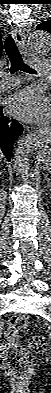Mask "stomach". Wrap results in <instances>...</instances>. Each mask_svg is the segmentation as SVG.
Segmentation results:
<instances>
[{"label": "stomach", "instance_id": "obj_1", "mask_svg": "<svg viewBox=\"0 0 51 393\" xmlns=\"http://www.w3.org/2000/svg\"><path fill=\"white\" fill-rule=\"evenodd\" d=\"M42 155L48 160V161H50L51 160V155H50V152L49 151H43V153H42Z\"/></svg>", "mask_w": 51, "mask_h": 393}]
</instances>
